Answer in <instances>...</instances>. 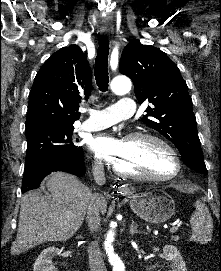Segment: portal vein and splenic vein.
<instances>
[{"label": "portal vein and splenic vein", "instance_id": "portal-vein-and-splenic-vein-1", "mask_svg": "<svg viewBox=\"0 0 221 271\" xmlns=\"http://www.w3.org/2000/svg\"><path fill=\"white\" fill-rule=\"evenodd\" d=\"M177 229H178V225H174V227H170L169 231H171V233H175Z\"/></svg>", "mask_w": 221, "mask_h": 271}]
</instances>
